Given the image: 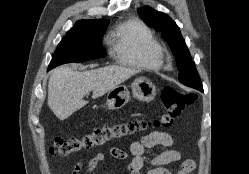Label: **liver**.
<instances>
[{
  "label": "liver",
  "mask_w": 249,
  "mask_h": 174,
  "mask_svg": "<svg viewBox=\"0 0 249 174\" xmlns=\"http://www.w3.org/2000/svg\"><path fill=\"white\" fill-rule=\"evenodd\" d=\"M137 73V69L116 65L83 72L60 67L49 78L48 106L59 120H65L87 104L83 98L90 91L96 99Z\"/></svg>",
  "instance_id": "obj_1"
}]
</instances>
